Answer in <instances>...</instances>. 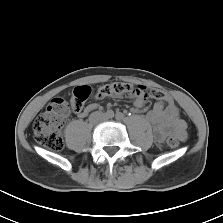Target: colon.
Wrapping results in <instances>:
<instances>
[{
    "label": "colon",
    "instance_id": "obj_1",
    "mask_svg": "<svg viewBox=\"0 0 223 223\" xmlns=\"http://www.w3.org/2000/svg\"><path fill=\"white\" fill-rule=\"evenodd\" d=\"M125 93L133 94L141 100L163 99L167 106L173 105L172 98L165 95L162 90L143 85L135 86L127 82H114L103 85L97 90L95 96L104 98ZM92 95L93 90L90 86H79L73 90L70 102L65 98H57L52 101L47 109L39 114L33 122L32 128L36 142L52 151L61 150L63 148L61 130L70 111L81 112L86 101ZM167 144L169 147L175 148L179 145V139L176 136H169Z\"/></svg>",
    "mask_w": 223,
    "mask_h": 223
}]
</instances>
